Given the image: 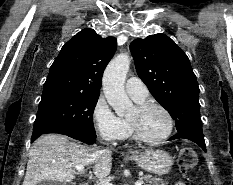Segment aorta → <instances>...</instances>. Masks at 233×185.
Segmentation results:
<instances>
[{
	"mask_svg": "<svg viewBox=\"0 0 233 185\" xmlns=\"http://www.w3.org/2000/svg\"><path fill=\"white\" fill-rule=\"evenodd\" d=\"M130 67V58L127 54L115 57L107 66L103 75V91L110 106L119 117H125L133 109V103L128 98L124 83Z\"/></svg>",
	"mask_w": 233,
	"mask_h": 185,
	"instance_id": "aorta-1",
	"label": "aorta"
}]
</instances>
